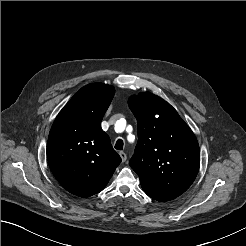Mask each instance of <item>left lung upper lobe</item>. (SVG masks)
Masks as SVG:
<instances>
[{
	"label": "left lung upper lobe",
	"instance_id": "left-lung-upper-lobe-1",
	"mask_svg": "<svg viewBox=\"0 0 246 246\" xmlns=\"http://www.w3.org/2000/svg\"><path fill=\"white\" fill-rule=\"evenodd\" d=\"M128 105L137 119L138 144L129 161L141 185L179 196L200 166L197 139L177 111L151 93L133 95Z\"/></svg>",
	"mask_w": 246,
	"mask_h": 246
}]
</instances>
